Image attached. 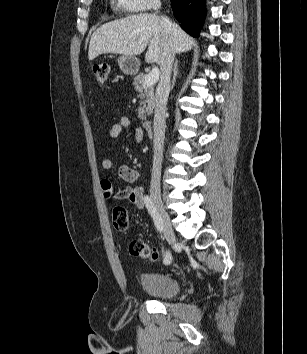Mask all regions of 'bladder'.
I'll list each match as a JSON object with an SVG mask.
<instances>
[{
	"instance_id": "obj_1",
	"label": "bladder",
	"mask_w": 307,
	"mask_h": 354,
	"mask_svg": "<svg viewBox=\"0 0 307 354\" xmlns=\"http://www.w3.org/2000/svg\"><path fill=\"white\" fill-rule=\"evenodd\" d=\"M141 284L148 295L159 299L173 298L181 289V284L177 278L160 272L142 273Z\"/></svg>"
}]
</instances>
